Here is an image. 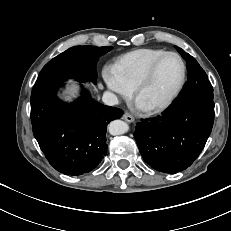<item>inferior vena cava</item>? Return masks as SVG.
<instances>
[{
  "instance_id": "obj_1",
  "label": "inferior vena cava",
  "mask_w": 231,
  "mask_h": 231,
  "mask_svg": "<svg viewBox=\"0 0 231 231\" xmlns=\"http://www.w3.org/2000/svg\"><path fill=\"white\" fill-rule=\"evenodd\" d=\"M102 101L108 106H114L118 104L117 96L108 91L103 93Z\"/></svg>"
}]
</instances>
